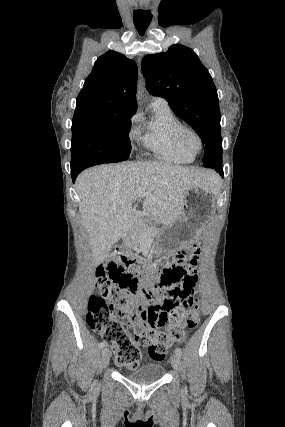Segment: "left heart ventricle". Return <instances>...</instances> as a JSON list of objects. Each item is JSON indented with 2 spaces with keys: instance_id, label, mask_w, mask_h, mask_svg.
<instances>
[{
  "instance_id": "left-heart-ventricle-1",
  "label": "left heart ventricle",
  "mask_w": 285,
  "mask_h": 427,
  "mask_svg": "<svg viewBox=\"0 0 285 427\" xmlns=\"http://www.w3.org/2000/svg\"><path fill=\"white\" fill-rule=\"evenodd\" d=\"M185 142L190 149L194 150L197 148V140L193 135L187 134L185 136Z\"/></svg>"
}]
</instances>
